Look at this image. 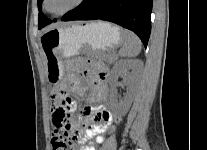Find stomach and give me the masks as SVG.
<instances>
[{"mask_svg":"<svg viewBox=\"0 0 207 150\" xmlns=\"http://www.w3.org/2000/svg\"><path fill=\"white\" fill-rule=\"evenodd\" d=\"M122 39L119 27L96 21L86 24H61L45 31L40 39L42 52L47 63L49 81L58 86L65 74L64 60L74 58L83 48L90 54L113 52Z\"/></svg>","mask_w":207,"mask_h":150,"instance_id":"1","label":"stomach"}]
</instances>
